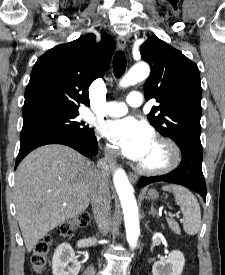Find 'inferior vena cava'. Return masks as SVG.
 Returning a JSON list of instances; mask_svg holds the SVG:
<instances>
[{
	"mask_svg": "<svg viewBox=\"0 0 225 275\" xmlns=\"http://www.w3.org/2000/svg\"><path fill=\"white\" fill-rule=\"evenodd\" d=\"M115 153L106 151L105 157L99 161L91 188V204L95 221L103 234L109 230L110 190L108 176L114 166Z\"/></svg>",
	"mask_w": 225,
	"mask_h": 275,
	"instance_id": "obj_1",
	"label": "inferior vena cava"
}]
</instances>
